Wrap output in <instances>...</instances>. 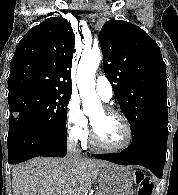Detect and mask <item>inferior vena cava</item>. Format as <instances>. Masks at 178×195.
Here are the masks:
<instances>
[{
    "mask_svg": "<svg viewBox=\"0 0 178 195\" xmlns=\"http://www.w3.org/2000/svg\"><path fill=\"white\" fill-rule=\"evenodd\" d=\"M68 162L71 166L75 167L79 160L82 158L81 149L78 145V141L75 138L68 139Z\"/></svg>",
    "mask_w": 178,
    "mask_h": 195,
    "instance_id": "obj_1",
    "label": "inferior vena cava"
}]
</instances>
